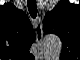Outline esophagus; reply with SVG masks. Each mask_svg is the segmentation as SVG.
<instances>
[{"mask_svg": "<svg viewBox=\"0 0 80 60\" xmlns=\"http://www.w3.org/2000/svg\"><path fill=\"white\" fill-rule=\"evenodd\" d=\"M35 30H36L37 48L38 51L40 52V55H43V50H42L43 32H42L41 17H37L35 21Z\"/></svg>", "mask_w": 80, "mask_h": 60, "instance_id": "esophagus-1", "label": "esophagus"}]
</instances>
